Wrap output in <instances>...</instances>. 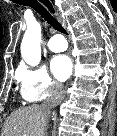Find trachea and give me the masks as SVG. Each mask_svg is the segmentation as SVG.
I'll list each match as a JSON object with an SVG mask.
<instances>
[{
	"instance_id": "trachea-1",
	"label": "trachea",
	"mask_w": 117,
	"mask_h": 136,
	"mask_svg": "<svg viewBox=\"0 0 117 136\" xmlns=\"http://www.w3.org/2000/svg\"><path fill=\"white\" fill-rule=\"evenodd\" d=\"M20 5L29 6L33 8L42 18L47 21L55 30L66 34L64 27L57 21V19L37 0H18ZM44 3V2H43ZM44 5L50 10V3L46 2Z\"/></svg>"
}]
</instances>
